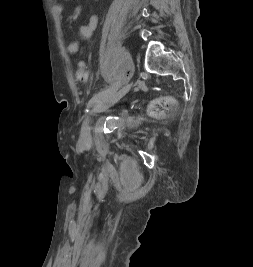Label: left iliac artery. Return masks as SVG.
<instances>
[{
    "label": "left iliac artery",
    "mask_w": 253,
    "mask_h": 267,
    "mask_svg": "<svg viewBox=\"0 0 253 267\" xmlns=\"http://www.w3.org/2000/svg\"><path fill=\"white\" fill-rule=\"evenodd\" d=\"M120 87V82H117L115 83L112 87H109V88H106L105 90L101 91L100 93L96 94L95 96H93L91 98V100L89 101L88 103V106H87V109L86 111L88 112L89 111V108L93 105V104H96L98 103L102 97L107 94V93H110L112 91H115V90H118V88Z\"/></svg>",
    "instance_id": "1"
}]
</instances>
